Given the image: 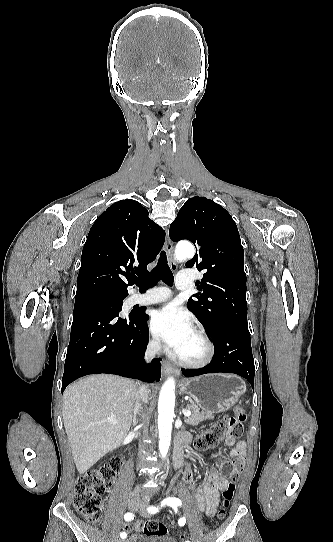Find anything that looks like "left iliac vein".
<instances>
[{"label":"left iliac vein","instance_id":"1","mask_svg":"<svg viewBox=\"0 0 333 542\" xmlns=\"http://www.w3.org/2000/svg\"><path fill=\"white\" fill-rule=\"evenodd\" d=\"M148 505H149L148 500H147V499H144V500H143V503L141 504V506H140V508H139V513H140L141 516H143V517H148V516H149V514H148V512H147V510H146V507H147Z\"/></svg>","mask_w":333,"mask_h":542}]
</instances>
